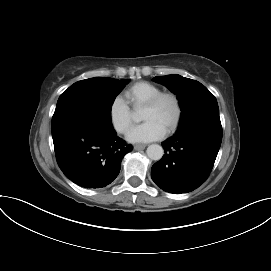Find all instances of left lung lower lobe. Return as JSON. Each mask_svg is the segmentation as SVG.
Instances as JSON below:
<instances>
[{
    "label": "left lung lower lobe",
    "instance_id": "obj_1",
    "mask_svg": "<svg viewBox=\"0 0 271 271\" xmlns=\"http://www.w3.org/2000/svg\"><path fill=\"white\" fill-rule=\"evenodd\" d=\"M221 141L219 117L200 118L179 126L176 134L162 143L165 155L152 166L153 181L170 193L193 191L208 178Z\"/></svg>",
    "mask_w": 271,
    "mask_h": 271
}]
</instances>
